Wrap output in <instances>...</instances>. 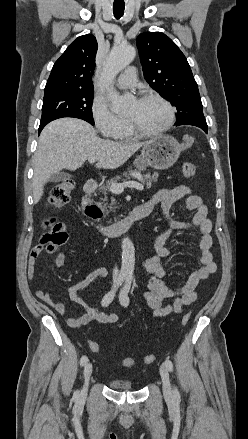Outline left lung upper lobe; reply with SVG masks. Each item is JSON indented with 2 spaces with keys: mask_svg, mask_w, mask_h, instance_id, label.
Returning a JSON list of instances; mask_svg holds the SVG:
<instances>
[{
  "mask_svg": "<svg viewBox=\"0 0 248 439\" xmlns=\"http://www.w3.org/2000/svg\"><path fill=\"white\" fill-rule=\"evenodd\" d=\"M136 43L146 81L177 108L176 125H207L197 83L177 45L161 32L142 33Z\"/></svg>",
  "mask_w": 248,
  "mask_h": 439,
  "instance_id": "5c2ea615",
  "label": "left lung upper lobe"
}]
</instances>
